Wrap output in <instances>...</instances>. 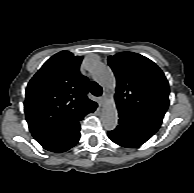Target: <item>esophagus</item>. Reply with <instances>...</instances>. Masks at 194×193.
<instances>
[{
  "instance_id": "esophagus-1",
  "label": "esophagus",
  "mask_w": 194,
  "mask_h": 193,
  "mask_svg": "<svg viewBox=\"0 0 194 193\" xmlns=\"http://www.w3.org/2000/svg\"><path fill=\"white\" fill-rule=\"evenodd\" d=\"M105 101H106V97H105V96L102 97V98H100V99H99V105H100V106L103 105V104L105 103Z\"/></svg>"
}]
</instances>
